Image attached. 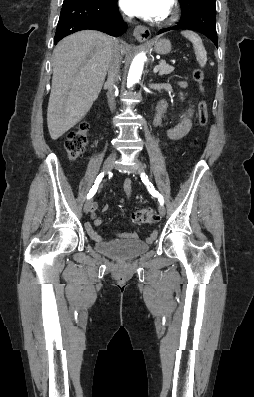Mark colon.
<instances>
[{"label":"colon","instance_id":"colon-1","mask_svg":"<svg viewBox=\"0 0 254 397\" xmlns=\"http://www.w3.org/2000/svg\"><path fill=\"white\" fill-rule=\"evenodd\" d=\"M193 79L197 83L199 90L204 92V73L200 68L193 71ZM208 122V107L205 100L198 103V123L205 127ZM89 124L81 121L73 130H71L65 141V148L70 159H77L83 154L88 144ZM132 221L137 224H153L158 221V216L153 209L139 208L131 215Z\"/></svg>","mask_w":254,"mask_h":397}]
</instances>
